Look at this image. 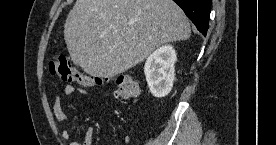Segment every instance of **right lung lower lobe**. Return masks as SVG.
<instances>
[{"instance_id":"98d812e1","label":"right lung lower lobe","mask_w":276,"mask_h":145,"mask_svg":"<svg viewBox=\"0 0 276 145\" xmlns=\"http://www.w3.org/2000/svg\"><path fill=\"white\" fill-rule=\"evenodd\" d=\"M185 12L188 18L195 24L197 29L206 36L209 16L211 9V0H173Z\"/></svg>"}]
</instances>
